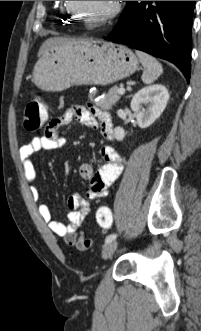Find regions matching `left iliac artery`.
I'll use <instances>...</instances> for the list:
<instances>
[{
  "label": "left iliac artery",
  "mask_w": 201,
  "mask_h": 331,
  "mask_svg": "<svg viewBox=\"0 0 201 331\" xmlns=\"http://www.w3.org/2000/svg\"><path fill=\"white\" fill-rule=\"evenodd\" d=\"M116 237H117L116 234H110V235H108V236L106 237V239H105V243L107 244V243H109V242H112L113 240L116 239Z\"/></svg>",
  "instance_id": "1"
}]
</instances>
